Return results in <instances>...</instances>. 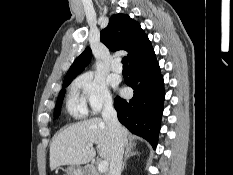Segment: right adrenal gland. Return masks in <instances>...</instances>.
<instances>
[{
	"label": "right adrenal gland",
	"mask_w": 233,
	"mask_h": 175,
	"mask_svg": "<svg viewBox=\"0 0 233 175\" xmlns=\"http://www.w3.org/2000/svg\"><path fill=\"white\" fill-rule=\"evenodd\" d=\"M134 155H140V153L137 150L134 151L133 146H130L129 148H127V151L125 153V158H124V162H123L121 171L124 170L127 159L129 157H131V156H134Z\"/></svg>",
	"instance_id": "1"
}]
</instances>
